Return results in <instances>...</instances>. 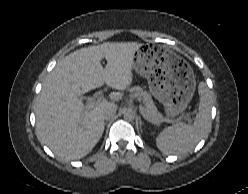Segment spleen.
Masks as SVG:
<instances>
[{"label":"spleen","mask_w":248,"mask_h":194,"mask_svg":"<svg viewBox=\"0 0 248 194\" xmlns=\"http://www.w3.org/2000/svg\"><path fill=\"white\" fill-rule=\"evenodd\" d=\"M198 93L200 101L194 123L192 125L177 123L158 134L156 145L162 153L166 155L187 153L210 132L212 96L206 83H199Z\"/></svg>","instance_id":"3e777b00"}]
</instances>
